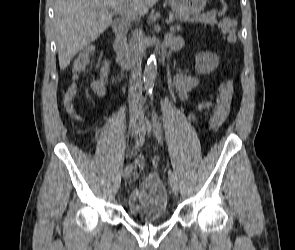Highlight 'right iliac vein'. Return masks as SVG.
<instances>
[{"label": "right iliac vein", "instance_id": "63e3f726", "mask_svg": "<svg viewBox=\"0 0 295 250\" xmlns=\"http://www.w3.org/2000/svg\"><path fill=\"white\" fill-rule=\"evenodd\" d=\"M140 120L137 119V118H132L131 121H130V131H131V134L134 135L136 134L137 131H139L140 129ZM131 176L130 172H124L123 173V178L124 180H127L129 179Z\"/></svg>", "mask_w": 295, "mask_h": 250}]
</instances>
